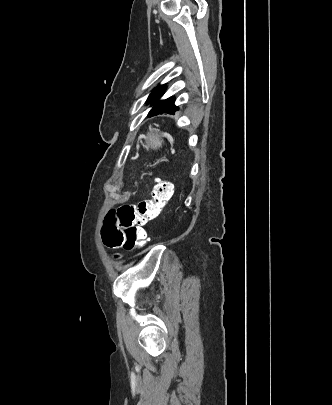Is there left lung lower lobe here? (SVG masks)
I'll return each mask as SVG.
<instances>
[{
    "instance_id": "obj_1",
    "label": "left lung lower lobe",
    "mask_w": 332,
    "mask_h": 405,
    "mask_svg": "<svg viewBox=\"0 0 332 405\" xmlns=\"http://www.w3.org/2000/svg\"><path fill=\"white\" fill-rule=\"evenodd\" d=\"M162 113L174 114L173 111L158 108V107H156V104H155L153 106V108L151 109V111L148 113V117H152V116L162 114Z\"/></svg>"
}]
</instances>
